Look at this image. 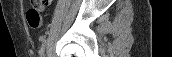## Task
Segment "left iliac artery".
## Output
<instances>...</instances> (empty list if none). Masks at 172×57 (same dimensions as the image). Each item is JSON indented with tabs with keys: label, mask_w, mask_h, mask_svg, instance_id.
<instances>
[{
	"label": "left iliac artery",
	"mask_w": 172,
	"mask_h": 57,
	"mask_svg": "<svg viewBox=\"0 0 172 57\" xmlns=\"http://www.w3.org/2000/svg\"><path fill=\"white\" fill-rule=\"evenodd\" d=\"M45 44H46V39L43 40V44L41 45V48L39 50V56L40 57H43L44 56Z\"/></svg>",
	"instance_id": "left-iliac-artery-1"
}]
</instances>
